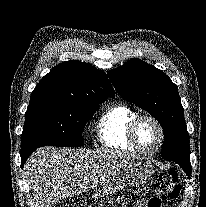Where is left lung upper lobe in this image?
I'll return each instance as SVG.
<instances>
[{"label": "left lung upper lobe", "instance_id": "1", "mask_svg": "<svg viewBox=\"0 0 206 207\" xmlns=\"http://www.w3.org/2000/svg\"><path fill=\"white\" fill-rule=\"evenodd\" d=\"M108 76L123 99L160 122L165 135L162 157L191 173L189 137L177 85L163 71L139 59L110 70Z\"/></svg>", "mask_w": 206, "mask_h": 207}]
</instances>
